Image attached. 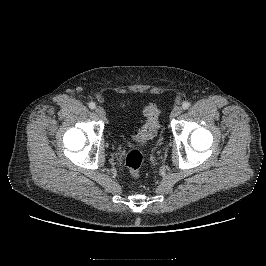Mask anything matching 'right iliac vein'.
I'll use <instances>...</instances> for the list:
<instances>
[{
  "instance_id": "right-iliac-vein-1",
  "label": "right iliac vein",
  "mask_w": 266,
  "mask_h": 266,
  "mask_svg": "<svg viewBox=\"0 0 266 266\" xmlns=\"http://www.w3.org/2000/svg\"><path fill=\"white\" fill-rule=\"evenodd\" d=\"M95 112L98 114V116L100 117V118H105V116H106V113H105V110H104V108H102V107H100V106H98V107H96V109H95Z\"/></svg>"
}]
</instances>
